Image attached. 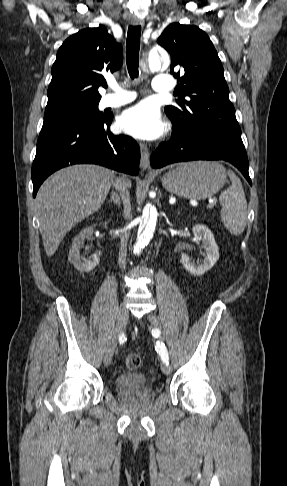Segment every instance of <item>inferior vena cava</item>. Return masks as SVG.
Returning a JSON list of instances; mask_svg holds the SVG:
<instances>
[{
    "label": "inferior vena cava",
    "instance_id": "inferior-vena-cava-1",
    "mask_svg": "<svg viewBox=\"0 0 287 486\" xmlns=\"http://www.w3.org/2000/svg\"><path fill=\"white\" fill-rule=\"evenodd\" d=\"M113 186L120 192V196L123 201L124 206V216L129 219L131 217V204H130V195L127 187L121 180L115 179ZM129 231H125L120 235L121 243H120V251H119V266L125 268L126 265V254H127V242L129 238Z\"/></svg>",
    "mask_w": 287,
    "mask_h": 486
}]
</instances>
